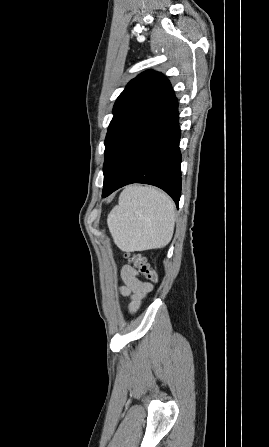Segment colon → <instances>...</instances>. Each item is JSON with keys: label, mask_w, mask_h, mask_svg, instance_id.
I'll return each instance as SVG.
<instances>
[{"label": "colon", "mask_w": 269, "mask_h": 447, "mask_svg": "<svg viewBox=\"0 0 269 447\" xmlns=\"http://www.w3.org/2000/svg\"><path fill=\"white\" fill-rule=\"evenodd\" d=\"M124 257L130 265L139 270L147 281L150 283H158L159 276L157 271L149 264L146 257L142 253H124Z\"/></svg>", "instance_id": "1"}]
</instances>
